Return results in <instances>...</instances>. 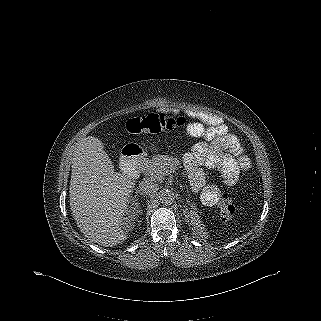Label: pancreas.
<instances>
[{
  "label": "pancreas",
  "instance_id": "obj_1",
  "mask_svg": "<svg viewBox=\"0 0 321 321\" xmlns=\"http://www.w3.org/2000/svg\"><path fill=\"white\" fill-rule=\"evenodd\" d=\"M178 163L177 160L167 156H156L146 164L145 174L150 175L154 179H161L168 171L169 168ZM193 210L196 209L195 203L188 201ZM196 215V212L192 211Z\"/></svg>",
  "mask_w": 321,
  "mask_h": 321
}]
</instances>
